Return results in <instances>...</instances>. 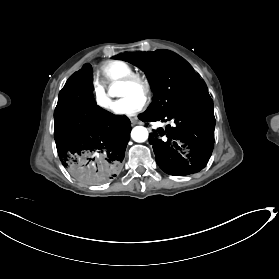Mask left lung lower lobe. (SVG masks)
I'll list each match as a JSON object with an SVG mask.
<instances>
[{"label":"left lung lower lobe","instance_id":"0a47b994","mask_svg":"<svg viewBox=\"0 0 279 279\" xmlns=\"http://www.w3.org/2000/svg\"><path fill=\"white\" fill-rule=\"evenodd\" d=\"M139 119L168 121L165 130L159 128L150 134L156 163L167 174L184 176L199 172L207 164L214 146L215 118L209 94L201 96L171 112L150 114L144 112Z\"/></svg>","mask_w":279,"mask_h":279}]
</instances>
